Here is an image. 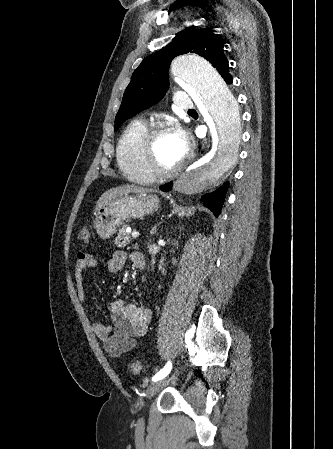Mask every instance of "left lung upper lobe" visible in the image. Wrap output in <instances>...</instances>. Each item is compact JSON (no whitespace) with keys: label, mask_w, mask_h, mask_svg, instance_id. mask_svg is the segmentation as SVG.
Returning <instances> with one entry per match:
<instances>
[{"label":"left lung upper lobe","mask_w":333,"mask_h":449,"mask_svg":"<svg viewBox=\"0 0 333 449\" xmlns=\"http://www.w3.org/2000/svg\"><path fill=\"white\" fill-rule=\"evenodd\" d=\"M223 42L214 30L187 28L161 50L146 57L132 74L121 107L115 118V130L127 119L157 103L169 87L168 70L174 57L196 53L207 59L221 74L229 73Z\"/></svg>","instance_id":"5c2ea615"}]
</instances>
